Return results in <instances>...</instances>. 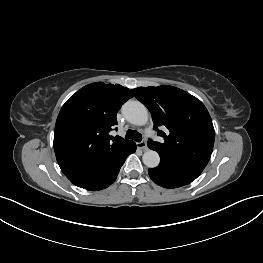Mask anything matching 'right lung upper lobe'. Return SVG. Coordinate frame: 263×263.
Listing matches in <instances>:
<instances>
[{"mask_svg":"<svg viewBox=\"0 0 263 263\" xmlns=\"http://www.w3.org/2000/svg\"><path fill=\"white\" fill-rule=\"evenodd\" d=\"M133 97L121 85L92 83L72 95L60 110L54 131V151L65 175L99 165L133 141L112 137L116 114Z\"/></svg>","mask_w":263,"mask_h":263,"instance_id":"right-lung-upper-lobe-1","label":"right lung upper lobe"}]
</instances>
